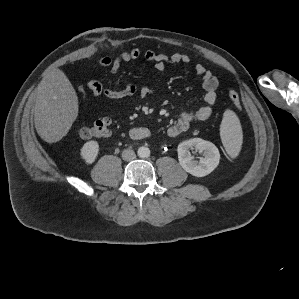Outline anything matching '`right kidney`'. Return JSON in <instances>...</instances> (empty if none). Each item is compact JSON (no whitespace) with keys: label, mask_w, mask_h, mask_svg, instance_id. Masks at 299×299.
<instances>
[{"label":"right kidney","mask_w":299,"mask_h":299,"mask_svg":"<svg viewBox=\"0 0 299 299\" xmlns=\"http://www.w3.org/2000/svg\"><path fill=\"white\" fill-rule=\"evenodd\" d=\"M99 153V144L97 141L86 142L81 150L80 155L86 164H92Z\"/></svg>","instance_id":"right-kidney-1"}]
</instances>
